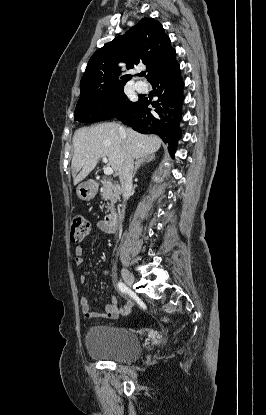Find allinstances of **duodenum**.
<instances>
[{
  "mask_svg": "<svg viewBox=\"0 0 266 415\" xmlns=\"http://www.w3.org/2000/svg\"><path fill=\"white\" fill-rule=\"evenodd\" d=\"M104 225L109 230H115L119 226V216L116 213L108 214L104 219Z\"/></svg>",
  "mask_w": 266,
  "mask_h": 415,
  "instance_id": "duodenum-1",
  "label": "duodenum"
}]
</instances>
